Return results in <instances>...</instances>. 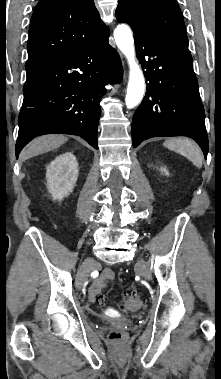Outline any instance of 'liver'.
Segmentation results:
<instances>
[{
  "label": "liver",
  "mask_w": 221,
  "mask_h": 379,
  "mask_svg": "<svg viewBox=\"0 0 221 379\" xmlns=\"http://www.w3.org/2000/svg\"><path fill=\"white\" fill-rule=\"evenodd\" d=\"M68 138L64 135L51 134L35 138L21 153L23 161L54 150L64 144Z\"/></svg>",
  "instance_id": "6515ba94"
}]
</instances>
